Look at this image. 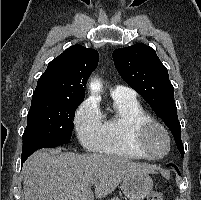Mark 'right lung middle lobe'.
I'll return each mask as SVG.
<instances>
[{"label":"right lung middle lobe","mask_w":201,"mask_h":200,"mask_svg":"<svg viewBox=\"0 0 201 200\" xmlns=\"http://www.w3.org/2000/svg\"><path fill=\"white\" fill-rule=\"evenodd\" d=\"M82 101L83 99L33 94L22 138L38 135L69 140L75 111Z\"/></svg>","instance_id":"right-lung-middle-lobe-1"}]
</instances>
